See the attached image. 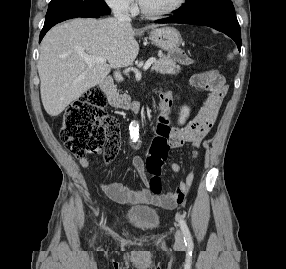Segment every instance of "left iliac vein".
<instances>
[{"label": "left iliac vein", "instance_id": "obj_1", "mask_svg": "<svg viewBox=\"0 0 286 269\" xmlns=\"http://www.w3.org/2000/svg\"><path fill=\"white\" fill-rule=\"evenodd\" d=\"M175 240H176V244L179 246H182L184 241H183V234L180 230H177L176 234H175Z\"/></svg>", "mask_w": 286, "mask_h": 269}]
</instances>
